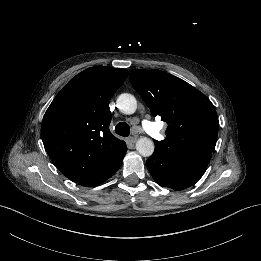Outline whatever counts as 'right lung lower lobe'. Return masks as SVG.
<instances>
[{
  "label": "right lung lower lobe",
  "mask_w": 261,
  "mask_h": 261,
  "mask_svg": "<svg viewBox=\"0 0 261 261\" xmlns=\"http://www.w3.org/2000/svg\"><path fill=\"white\" fill-rule=\"evenodd\" d=\"M126 154V151L117 158L110 166H108L105 170L101 171L98 174H95L92 177L84 179L83 181L79 182L80 185L83 186H94L100 184L110 178L121 166L123 158Z\"/></svg>",
  "instance_id": "1"
}]
</instances>
